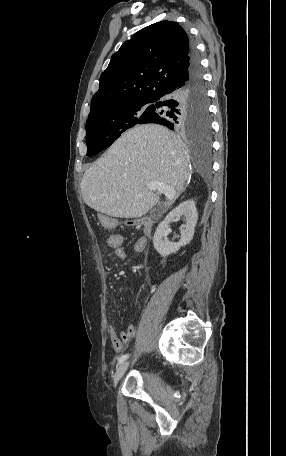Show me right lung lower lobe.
Here are the masks:
<instances>
[{"mask_svg": "<svg viewBox=\"0 0 286 456\" xmlns=\"http://www.w3.org/2000/svg\"><path fill=\"white\" fill-rule=\"evenodd\" d=\"M154 115L147 123H157L169 129L197 131L194 127H204L209 121L207 92L203 80L199 59L194 47L187 75L172 88L152 99ZM163 107V109H160ZM201 131L208 134V131Z\"/></svg>", "mask_w": 286, "mask_h": 456, "instance_id": "98d812e1", "label": "right lung lower lobe"}]
</instances>
